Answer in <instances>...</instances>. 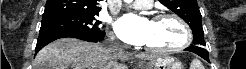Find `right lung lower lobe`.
I'll use <instances>...</instances> for the list:
<instances>
[{"label": "right lung lower lobe", "mask_w": 246, "mask_h": 69, "mask_svg": "<svg viewBox=\"0 0 246 69\" xmlns=\"http://www.w3.org/2000/svg\"><path fill=\"white\" fill-rule=\"evenodd\" d=\"M105 36V32L101 31L97 34H83L74 31H47V32H40L35 51L38 53L44 46L49 44L50 42L64 38V37H72L81 39L88 42H98L101 41Z\"/></svg>", "instance_id": "obj_1"}]
</instances>
